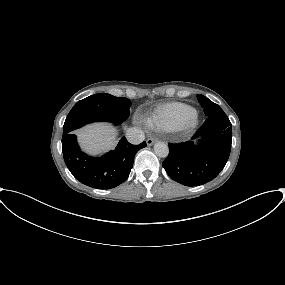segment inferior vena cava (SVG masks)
Segmentation results:
<instances>
[{"instance_id":"inferior-vena-cava-1","label":"inferior vena cava","mask_w":285,"mask_h":285,"mask_svg":"<svg viewBox=\"0 0 285 285\" xmlns=\"http://www.w3.org/2000/svg\"><path fill=\"white\" fill-rule=\"evenodd\" d=\"M126 138L131 144H140L144 141L145 135L141 129L129 128L126 131Z\"/></svg>"}]
</instances>
